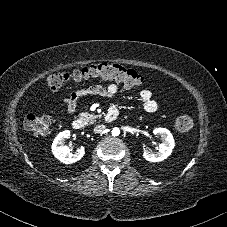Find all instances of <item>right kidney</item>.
Instances as JSON below:
<instances>
[{"label": "right kidney", "mask_w": 227, "mask_h": 227, "mask_svg": "<svg viewBox=\"0 0 227 227\" xmlns=\"http://www.w3.org/2000/svg\"><path fill=\"white\" fill-rule=\"evenodd\" d=\"M70 137V131L60 132L53 141L52 153L62 163L71 164L80 160L85 154V148L82 146L74 153L65 145L66 139Z\"/></svg>", "instance_id": "obj_1"}]
</instances>
